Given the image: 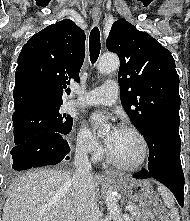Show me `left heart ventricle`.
<instances>
[{
	"label": "left heart ventricle",
	"mask_w": 190,
	"mask_h": 221,
	"mask_svg": "<svg viewBox=\"0 0 190 221\" xmlns=\"http://www.w3.org/2000/svg\"><path fill=\"white\" fill-rule=\"evenodd\" d=\"M105 140L109 151L119 161L134 164L141 158L142 145L134 133L119 128L114 134L108 132Z\"/></svg>",
	"instance_id": "1"
}]
</instances>
